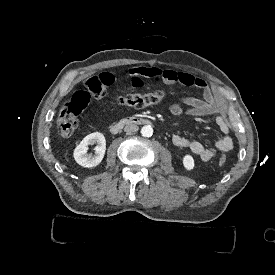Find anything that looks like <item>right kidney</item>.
<instances>
[{"mask_svg": "<svg viewBox=\"0 0 275 275\" xmlns=\"http://www.w3.org/2000/svg\"><path fill=\"white\" fill-rule=\"evenodd\" d=\"M94 142H98L95 147L96 155L90 157L86 154L88 145ZM106 151V141L102 133L95 132L91 133L83 138L79 145H77L73 152V158L77 164L84 168H92L98 166L103 158Z\"/></svg>", "mask_w": 275, "mask_h": 275, "instance_id": "ca27d5eb", "label": "right kidney"}]
</instances>
